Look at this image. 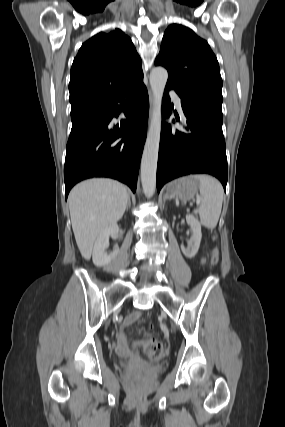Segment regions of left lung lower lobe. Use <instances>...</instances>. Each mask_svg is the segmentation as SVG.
I'll return each mask as SVG.
<instances>
[{"mask_svg": "<svg viewBox=\"0 0 285 427\" xmlns=\"http://www.w3.org/2000/svg\"><path fill=\"white\" fill-rule=\"evenodd\" d=\"M171 89L174 88L166 85L162 106L164 118L169 117L172 112L168 96ZM176 92L181 98L187 122L180 131L167 123L162 124L157 165L158 192L172 179L199 173L217 177L226 190L228 168L222 132V110L192 104Z\"/></svg>", "mask_w": 285, "mask_h": 427, "instance_id": "1", "label": "left lung lower lobe"}]
</instances>
